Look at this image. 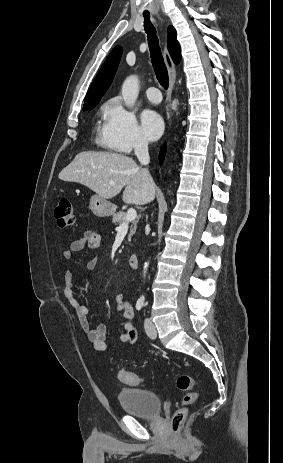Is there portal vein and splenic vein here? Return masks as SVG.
Returning <instances> with one entry per match:
<instances>
[{"label": "portal vein and splenic vein", "instance_id": "1", "mask_svg": "<svg viewBox=\"0 0 283 463\" xmlns=\"http://www.w3.org/2000/svg\"><path fill=\"white\" fill-rule=\"evenodd\" d=\"M109 184L112 185V184H114V182H110ZM136 216H137L136 210L134 208H129L127 210V213H126V221L130 222V221L134 220L136 218Z\"/></svg>", "mask_w": 283, "mask_h": 463}]
</instances>
